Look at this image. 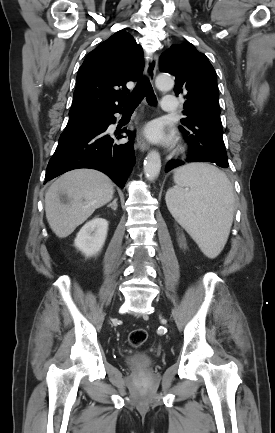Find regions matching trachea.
<instances>
[{
    "mask_svg": "<svg viewBox=\"0 0 275 433\" xmlns=\"http://www.w3.org/2000/svg\"><path fill=\"white\" fill-rule=\"evenodd\" d=\"M144 97H146V100L150 105H155L157 103L152 85L149 79L146 77H143L142 79L139 80L136 88L128 96L124 110L134 111L137 108V106L141 103Z\"/></svg>",
    "mask_w": 275,
    "mask_h": 433,
    "instance_id": "1",
    "label": "trachea"
}]
</instances>
